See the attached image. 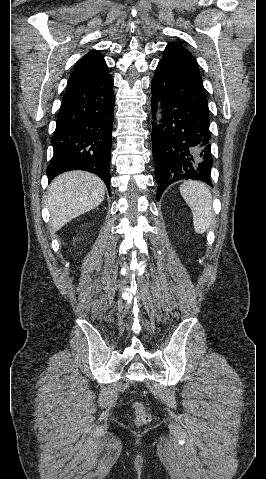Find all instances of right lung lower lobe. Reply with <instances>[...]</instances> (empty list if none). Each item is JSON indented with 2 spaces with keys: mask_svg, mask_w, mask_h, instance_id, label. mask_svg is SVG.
<instances>
[{
  "mask_svg": "<svg viewBox=\"0 0 266 479\" xmlns=\"http://www.w3.org/2000/svg\"><path fill=\"white\" fill-rule=\"evenodd\" d=\"M114 104L110 74L67 85L51 139L54 154L47 167L49 182L65 171L85 170L98 175L110 192Z\"/></svg>",
  "mask_w": 266,
  "mask_h": 479,
  "instance_id": "obj_1",
  "label": "right lung lower lobe"
}]
</instances>
